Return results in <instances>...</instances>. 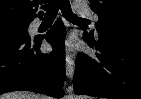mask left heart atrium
I'll return each mask as SVG.
<instances>
[{
  "mask_svg": "<svg viewBox=\"0 0 141 99\" xmlns=\"http://www.w3.org/2000/svg\"><path fill=\"white\" fill-rule=\"evenodd\" d=\"M73 46V40L72 39H67L65 42H64V47L67 49V50H70Z\"/></svg>",
  "mask_w": 141,
  "mask_h": 99,
  "instance_id": "39dd6f15",
  "label": "left heart atrium"
}]
</instances>
